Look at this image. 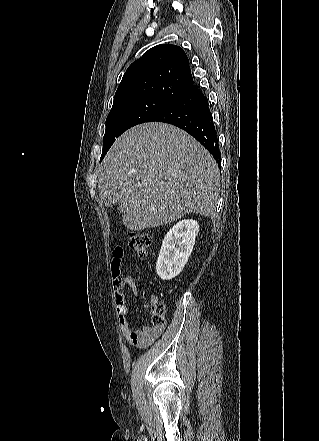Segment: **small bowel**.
Listing matches in <instances>:
<instances>
[{
	"instance_id": "1",
	"label": "small bowel",
	"mask_w": 319,
	"mask_h": 441,
	"mask_svg": "<svg viewBox=\"0 0 319 441\" xmlns=\"http://www.w3.org/2000/svg\"><path fill=\"white\" fill-rule=\"evenodd\" d=\"M123 256V249L121 247H116L113 250V265H119ZM125 287L129 288L136 297H141L134 278L120 271V283L117 284L114 281V296L121 332L126 341L131 345L137 347L149 346L161 336L165 325L163 324L160 327L146 326L142 329L135 328L128 318L129 309L123 291ZM150 301L154 302L155 299L151 298Z\"/></svg>"
}]
</instances>
